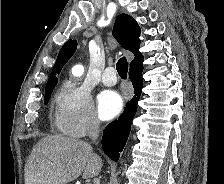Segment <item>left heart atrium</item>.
<instances>
[{
	"instance_id": "39dd6f15",
	"label": "left heart atrium",
	"mask_w": 224,
	"mask_h": 184,
	"mask_svg": "<svg viewBox=\"0 0 224 184\" xmlns=\"http://www.w3.org/2000/svg\"><path fill=\"white\" fill-rule=\"evenodd\" d=\"M97 105L100 118L109 120L120 113L123 101L117 92L107 90L99 95Z\"/></svg>"
}]
</instances>
